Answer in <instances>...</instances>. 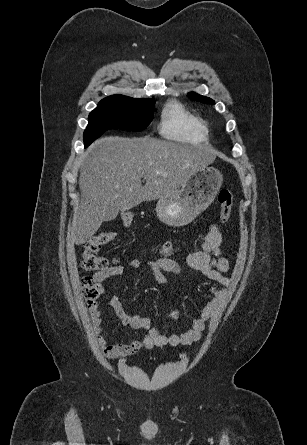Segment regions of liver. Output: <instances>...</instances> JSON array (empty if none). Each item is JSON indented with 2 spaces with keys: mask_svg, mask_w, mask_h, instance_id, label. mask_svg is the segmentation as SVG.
I'll return each mask as SVG.
<instances>
[{
  "mask_svg": "<svg viewBox=\"0 0 307 445\" xmlns=\"http://www.w3.org/2000/svg\"><path fill=\"white\" fill-rule=\"evenodd\" d=\"M213 160L214 154L203 146L150 136L98 138L80 168L81 200L73 218L72 243L92 239L103 220L117 216L119 210L181 190L189 174ZM156 170L164 174H155Z\"/></svg>",
  "mask_w": 307,
  "mask_h": 445,
  "instance_id": "obj_1",
  "label": "liver"
}]
</instances>
